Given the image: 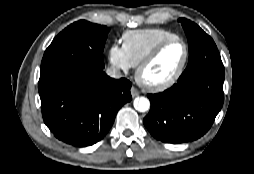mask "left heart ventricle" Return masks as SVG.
<instances>
[{"label":"left heart ventricle","mask_w":254,"mask_h":174,"mask_svg":"<svg viewBox=\"0 0 254 174\" xmlns=\"http://www.w3.org/2000/svg\"><path fill=\"white\" fill-rule=\"evenodd\" d=\"M181 42L167 45L158 57L143 72V79L148 82H161L170 78L179 68L184 57Z\"/></svg>","instance_id":"b2bd125f"}]
</instances>
